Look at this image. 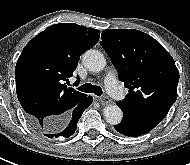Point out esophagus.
Listing matches in <instances>:
<instances>
[{
	"label": "esophagus",
	"mask_w": 190,
	"mask_h": 165,
	"mask_svg": "<svg viewBox=\"0 0 190 165\" xmlns=\"http://www.w3.org/2000/svg\"><path fill=\"white\" fill-rule=\"evenodd\" d=\"M98 101L102 104V105H108L111 103V99L107 96H103L98 98Z\"/></svg>",
	"instance_id": "esophagus-1"
}]
</instances>
